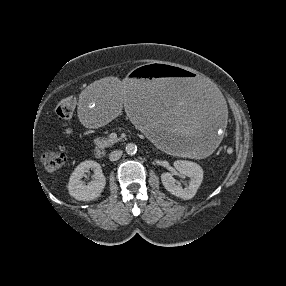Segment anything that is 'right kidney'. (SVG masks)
Masks as SVG:
<instances>
[{"label": "right kidney", "instance_id": "1", "mask_svg": "<svg viewBox=\"0 0 286 286\" xmlns=\"http://www.w3.org/2000/svg\"><path fill=\"white\" fill-rule=\"evenodd\" d=\"M94 171V179L88 184L81 181L89 170ZM106 184V178L102 173L99 163L86 160L81 162L73 171L68 183L69 194L79 201H90L100 196Z\"/></svg>", "mask_w": 286, "mask_h": 286}]
</instances>
